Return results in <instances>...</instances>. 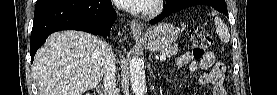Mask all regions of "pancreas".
<instances>
[{"label": "pancreas", "mask_w": 277, "mask_h": 95, "mask_svg": "<svg viewBox=\"0 0 277 95\" xmlns=\"http://www.w3.org/2000/svg\"><path fill=\"white\" fill-rule=\"evenodd\" d=\"M179 51V48L177 45H172V46H169L168 48L166 49H163L160 53L162 55H165L166 57L170 58L171 56L173 55H176Z\"/></svg>", "instance_id": "1"}]
</instances>
